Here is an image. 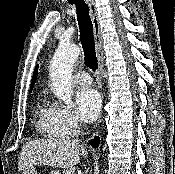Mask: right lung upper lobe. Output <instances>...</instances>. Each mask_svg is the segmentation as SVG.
<instances>
[{
  "instance_id": "1",
  "label": "right lung upper lobe",
  "mask_w": 175,
  "mask_h": 174,
  "mask_svg": "<svg viewBox=\"0 0 175 174\" xmlns=\"http://www.w3.org/2000/svg\"><path fill=\"white\" fill-rule=\"evenodd\" d=\"M37 74H38V66H36V69L34 71V75H33V78H32V83H31V89H30V91L32 90V88H33V86H34V84L36 82Z\"/></svg>"
}]
</instances>
